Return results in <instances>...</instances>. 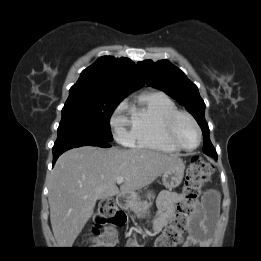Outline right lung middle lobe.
<instances>
[{"mask_svg":"<svg viewBox=\"0 0 261 261\" xmlns=\"http://www.w3.org/2000/svg\"><path fill=\"white\" fill-rule=\"evenodd\" d=\"M123 98L108 95L68 98L62 109L55 145L85 139L112 141L109 120Z\"/></svg>","mask_w":261,"mask_h":261,"instance_id":"1","label":"right lung middle lobe"}]
</instances>
